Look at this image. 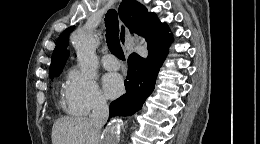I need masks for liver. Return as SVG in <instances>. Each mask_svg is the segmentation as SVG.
Masks as SVG:
<instances>
[{
    "label": "liver",
    "instance_id": "obj_1",
    "mask_svg": "<svg viewBox=\"0 0 260 144\" xmlns=\"http://www.w3.org/2000/svg\"><path fill=\"white\" fill-rule=\"evenodd\" d=\"M52 144H96L98 131L88 117H63L52 127Z\"/></svg>",
    "mask_w": 260,
    "mask_h": 144
}]
</instances>
